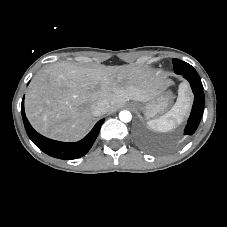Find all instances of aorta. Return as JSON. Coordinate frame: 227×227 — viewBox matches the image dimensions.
Instances as JSON below:
<instances>
[{
  "instance_id": "aorta-1",
  "label": "aorta",
  "mask_w": 227,
  "mask_h": 227,
  "mask_svg": "<svg viewBox=\"0 0 227 227\" xmlns=\"http://www.w3.org/2000/svg\"><path fill=\"white\" fill-rule=\"evenodd\" d=\"M119 119L124 122V123H127V122H130L131 119H132V115L129 111L127 110H123L119 113Z\"/></svg>"
}]
</instances>
